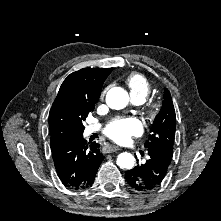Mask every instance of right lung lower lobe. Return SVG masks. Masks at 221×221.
<instances>
[{
	"instance_id": "1",
	"label": "right lung lower lobe",
	"mask_w": 221,
	"mask_h": 221,
	"mask_svg": "<svg viewBox=\"0 0 221 221\" xmlns=\"http://www.w3.org/2000/svg\"><path fill=\"white\" fill-rule=\"evenodd\" d=\"M99 144H87L80 134L51 149L57 175L67 188L80 190L90 187L104 158Z\"/></svg>"
}]
</instances>
